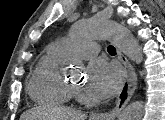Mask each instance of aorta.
I'll use <instances>...</instances> for the list:
<instances>
[{"instance_id": "aorta-1", "label": "aorta", "mask_w": 165, "mask_h": 120, "mask_svg": "<svg viewBox=\"0 0 165 120\" xmlns=\"http://www.w3.org/2000/svg\"><path fill=\"white\" fill-rule=\"evenodd\" d=\"M74 32L87 38L112 39L130 60L137 64L143 60L141 48L130 30L116 21L100 18L81 20L75 23ZM143 112L142 102L135 101L123 110L119 120H141Z\"/></svg>"}]
</instances>
